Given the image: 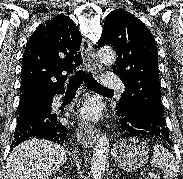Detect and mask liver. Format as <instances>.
<instances>
[{
	"label": "liver",
	"mask_w": 183,
	"mask_h": 179,
	"mask_svg": "<svg viewBox=\"0 0 183 179\" xmlns=\"http://www.w3.org/2000/svg\"><path fill=\"white\" fill-rule=\"evenodd\" d=\"M67 160L60 145L31 139L16 146L7 159L5 179H48Z\"/></svg>",
	"instance_id": "6515ba94"
}]
</instances>
